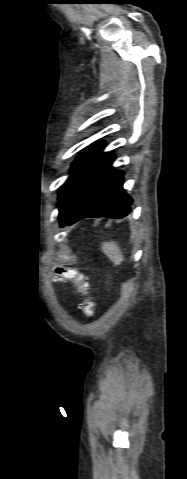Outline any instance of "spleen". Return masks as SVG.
Wrapping results in <instances>:
<instances>
[{
  "label": "spleen",
  "mask_w": 187,
  "mask_h": 479,
  "mask_svg": "<svg viewBox=\"0 0 187 479\" xmlns=\"http://www.w3.org/2000/svg\"><path fill=\"white\" fill-rule=\"evenodd\" d=\"M101 249L114 265H120L124 261V256L116 242H103Z\"/></svg>",
  "instance_id": "spleen-1"
}]
</instances>
